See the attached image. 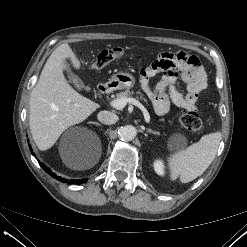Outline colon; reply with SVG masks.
<instances>
[{"mask_svg":"<svg viewBox=\"0 0 247 247\" xmlns=\"http://www.w3.org/2000/svg\"><path fill=\"white\" fill-rule=\"evenodd\" d=\"M127 50L121 47L105 49L99 53L93 63L94 68H102L113 60L122 58ZM179 123L190 131H199L202 128V120L195 110H187L179 116Z\"/></svg>","mask_w":247,"mask_h":247,"instance_id":"5ec220e1","label":"colon"}]
</instances>
